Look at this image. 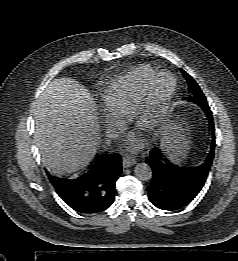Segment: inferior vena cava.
I'll use <instances>...</instances> for the list:
<instances>
[{
	"instance_id": "1",
	"label": "inferior vena cava",
	"mask_w": 238,
	"mask_h": 261,
	"mask_svg": "<svg viewBox=\"0 0 238 261\" xmlns=\"http://www.w3.org/2000/svg\"><path fill=\"white\" fill-rule=\"evenodd\" d=\"M106 137L110 138V139H114L118 137V133L111 128L106 129Z\"/></svg>"
}]
</instances>
